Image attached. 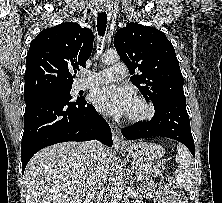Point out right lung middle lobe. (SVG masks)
<instances>
[{"mask_svg":"<svg viewBox=\"0 0 222 203\" xmlns=\"http://www.w3.org/2000/svg\"><path fill=\"white\" fill-rule=\"evenodd\" d=\"M71 88L72 86H65V87L49 88V89L24 93V100L25 103H27L30 100L44 98V97H61L67 100H71L72 99L70 95Z\"/></svg>","mask_w":222,"mask_h":203,"instance_id":"right-lung-middle-lobe-1","label":"right lung middle lobe"}]
</instances>
